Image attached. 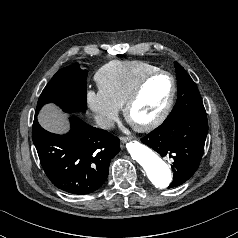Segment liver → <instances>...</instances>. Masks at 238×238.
I'll return each mask as SVG.
<instances>
[{
    "mask_svg": "<svg viewBox=\"0 0 238 238\" xmlns=\"http://www.w3.org/2000/svg\"><path fill=\"white\" fill-rule=\"evenodd\" d=\"M38 121L43 128L53 133H64L68 130L66 114L54 104H47L43 107Z\"/></svg>",
    "mask_w": 238,
    "mask_h": 238,
    "instance_id": "6515ba94",
    "label": "liver"
}]
</instances>
